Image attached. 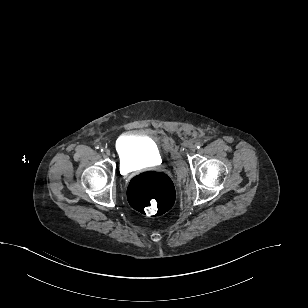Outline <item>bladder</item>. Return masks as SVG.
I'll list each match as a JSON object with an SVG mask.
<instances>
[{"label":"bladder","mask_w":308,"mask_h":308,"mask_svg":"<svg viewBox=\"0 0 308 308\" xmlns=\"http://www.w3.org/2000/svg\"><path fill=\"white\" fill-rule=\"evenodd\" d=\"M115 150L123 168L154 165L161 160L156 141L141 131H129L122 135Z\"/></svg>","instance_id":"31cf9c89"}]
</instances>
